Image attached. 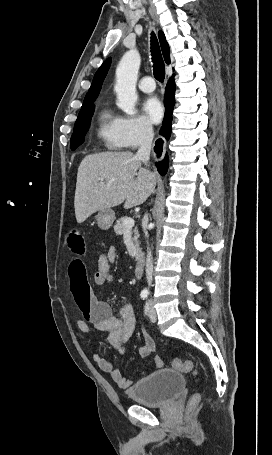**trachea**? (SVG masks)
Here are the masks:
<instances>
[{
	"label": "trachea",
	"instance_id": "obj_1",
	"mask_svg": "<svg viewBox=\"0 0 272 455\" xmlns=\"http://www.w3.org/2000/svg\"><path fill=\"white\" fill-rule=\"evenodd\" d=\"M151 55L153 62V73L156 80L163 82L165 78V65L159 48L157 37L151 34Z\"/></svg>",
	"mask_w": 272,
	"mask_h": 455
}]
</instances>
